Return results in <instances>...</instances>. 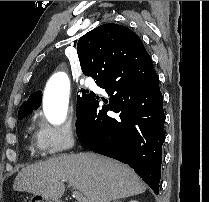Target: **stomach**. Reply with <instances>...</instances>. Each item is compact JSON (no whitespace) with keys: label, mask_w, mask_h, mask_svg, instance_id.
I'll list each match as a JSON object with an SVG mask.
<instances>
[{"label":"stomach","mask_w":209,"mask_h":202,"mask_svg":"<svg viewBox=\"0 0 209 202\" xmlns=\"http://www.w3.org/2000/svg\"><path fill=\"white\" fill-rule=\"evenodd\" d=\"M29 202H60L59 199L48 198L43 195L34 194Z\"/></svg>","instance_id":"obj_1"}]
</instances>
